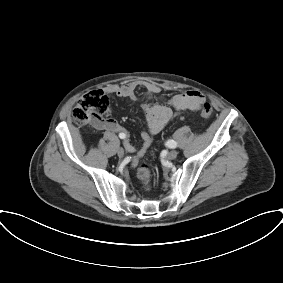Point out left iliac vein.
Returning <instances> with one entry per match:
<instances>
[{"instance_id":"4c4485c4","label":"left iliac vein","mask_w":283,"mask_h":283,"mask_svg":"<svg viewBox=\"0 0 283 283\" xmlns=\"http://www.w3.org/2000/svg\"><path fill=\"white\" fill-rule=\"evenodd\" d=\"M177 155H178V152L176 150H171L167 155V159L173 160L177 157Z\"/></svg>"}]
</instances>
